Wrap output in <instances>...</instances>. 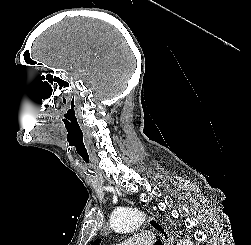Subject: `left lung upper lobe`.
Segmentation results:
<instances>
[{
  "label": "left lung upper lobe",
  "instance_id": "1",
  "mask_svg": "<svg viewBox=\"0 0 251 245\" xmlns=\"http://www.w3.org/2000/svg\"><path fill=\"white\" fill-rule=\"evenodd\" d=\"M100 241H101L100 239H97V240H95V241L93 242L92 245H99Z\"/></svg>",
  "mask_w": 251,
  "mask_h": 245
}]
</instances>
